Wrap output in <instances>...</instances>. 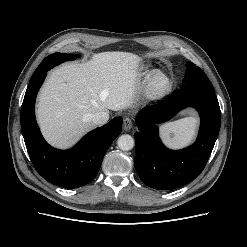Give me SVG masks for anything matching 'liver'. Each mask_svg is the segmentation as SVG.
I'll use <instances>...</instances> for the list:
<instances>
[{"label": "liver", "mask_w": 247, "mask_h": 247, "mask_svg": "<svg viewBox=\"0 0 247 247\" xmlns=\"http://www.w3.org/2000/svg\"><path fill=\"white\" fill-rule=\"evenodd\" d=\"M140 60L132 53L102 52L89 61L53 70L37 104V120L46 140L68 148L95 127L92 114L133 107Z\"/></svg>", "instance_id": "1"}]
</instances>
